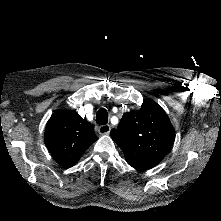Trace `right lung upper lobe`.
Wrapping results in <instances>:
<instances>
[{
	"mask_svg": "<svg viewBox=\"0 0 221 221\" xmlns=\"http://www.w3.org/2000/svg\"><path fill=\"white\" fill-rule=\"evenodd\" d=\"M98 137L94 127L76 112L57 111L45 129V144L63 167H71Z\"/></svg>",
	"mask_w": 221,
	"mask_h": 221,
	"instance_id": "right-lung-upper-lobe-1",
	"label": "right lung upper lobe"
}]
</instances>
